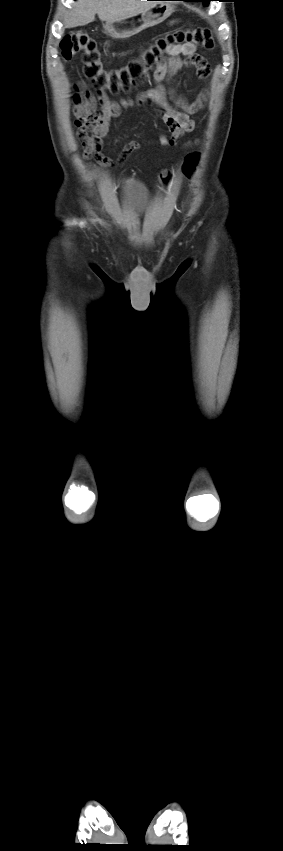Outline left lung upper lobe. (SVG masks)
Wrapping results in <instances>:
<instances>
[{
	"label": "left lung upper lobe",
	"mask_w": 283,
	"mask_h": 851,
	"mask_svg": "<svg viewBox=\"0 0 283 851\" xmlns=\"http://www.w3.org/2000/svg\"><path fill=\"white\" fill-rule=\"evenodd\" d=\"M191 1H203V3L206 5V4H208L211 0H191Z\"/></svg>",
	"instance_id": "obj_1"
}]
</instances>
